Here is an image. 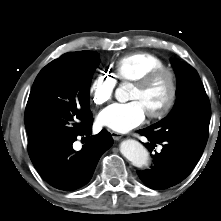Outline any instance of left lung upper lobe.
Wrapping results in <instances>:
<instances>
[{
    "label": "left lung upper lobe",
    "mask_w": 221,
    "mask_h": 221,
    "mask_svg": "<svg viewBox=\"0 0 221 221\" xmlns=\"http://www.w3.org/2000/svg\"><path fill=\"white\" fill-rule=\"evenodd\" d=\"M177 77V100L167 117L149 126L157 139H182L205 147L211 118L210 102L196 70L172 61Z\"/></svg>",
    "instance_id": "left-lung-upper-lobe-1"
}]
</instances>
